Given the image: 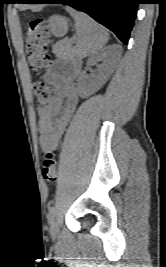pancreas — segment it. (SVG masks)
Instances as JSON below:
<instances>
[{
    "label": "pancreas",
    "instance_id": "cf45deb5",
    "mask_svg": "<svg viewBox=\"0 0 166 267\" xmlns=\"http://www.w3.org/2000/svg\"><path fill=\"white\" fill-rule=\"evenodd\" d=\"M53 53L61 59H69L73 57V49L70 42L60 41L53 47Z\"/></svg>",
    "mask_w": 166,
    "mask_h": 267
}]
</instances>
